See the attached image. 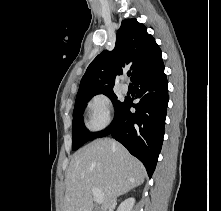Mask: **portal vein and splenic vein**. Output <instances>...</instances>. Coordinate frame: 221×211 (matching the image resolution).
I'll return each mask as SVG.
<instances>
[{
  "label": "portal vein and splenic vein",
  "mask_w": 221,
  "mask_h": 211,
  "mask_svg": "<svg viewBox=\"0 0 221 211\" xmlns=\"http://www.w3.org/2000/svg\"><path fill=\"white\" fill-rule=\"evenodd\" d=\"M92 194L94 196L95 201L98 204H102L104 202V194L99 189L93 188Z\"/></svg>",
  "instance_id": "1"
}]
</instances>
